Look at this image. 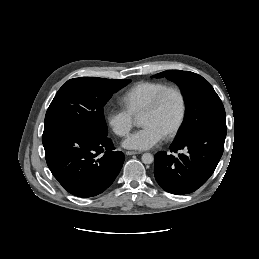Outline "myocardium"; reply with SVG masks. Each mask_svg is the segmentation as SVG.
<instances>
[{
    "instance_id": "obj_1",
    "label": "myocardium",
    "mask_w": 259,
    "mask_h": 259,
    "mask_svg": "<svg viewBox=\"0 0 259 259\" xmlns=\"http://www.w3.org/2000/svg\"><path fill=\"white\" fill-rule=\"evenodd\" d=\"M169 93H175L178 96L181 104V111H180L178 122L168 133L164 135L165 138H172L176 136L180 132V130L182 129L185 123L186 115H187V102L183 92L178 87H175V86H168L164 88L161 92H159V94L155 97L153 102L142 113V116H143L146 114H152L157 112L160 109L164 99Z\"/></svg>"
}]
</instances>
